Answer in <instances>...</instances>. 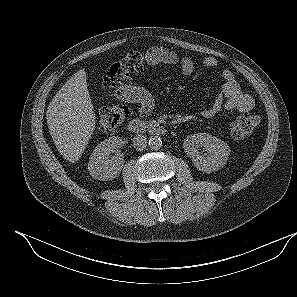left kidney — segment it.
Segmentation results:
<instances>
[{
	"label": "left kidney",
	"instance_id": "left-kidney-1",
	"mask_svg": "<svg viewBox=\"0 0 297 297\" xmlns=\"http://www.w3.org/2000/svg\"><path fill=\"white\" fill-rule=\"evenodd\" d=\"M199 147H203L204 154L198 150ZM183 148L194 166L205 173L222 168L230 154V148L224 141L207 133L188 136L183 142Z\"/></svg>",
	"mask_w": 297,
	"mask_h": 297
}]
</instances>
